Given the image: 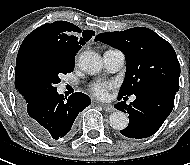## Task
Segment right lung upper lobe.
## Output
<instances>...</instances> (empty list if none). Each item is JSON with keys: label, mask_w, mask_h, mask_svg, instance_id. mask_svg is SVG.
I'll return each mask as SVG.
<instances>
[{"label": "right lung upper lobe", "mask_w": 190, "mask_h": 165, "mask_svg": "<svg viewBox=\"0 0 190 165\" xmlns=\"http://www.w3.org/2000/svg\"><path fill=\"white\" fill-rule=\"evenodd\" d=\"M95 32L92 30L82 31L72 23L56 21L51 24H44L32 31L23 41L18 51L15 69V86L24 102L29 98L25 95V83L23 75V58L28 47L33 43H44L58 47L68 54L76 55L81 46L89 41Z\"/></svg>", "instance_id": "1"}]
</instances>
